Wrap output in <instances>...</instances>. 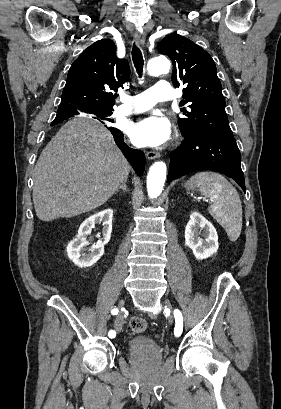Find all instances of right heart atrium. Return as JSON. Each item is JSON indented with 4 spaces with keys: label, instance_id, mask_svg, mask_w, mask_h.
I'll return each instance as SVG.
<instances>
[{
    "label": "right heart atrium",
    "instance_id": "1",
    "mask_svg": "<svg viewBox=\"0 0 281 409\" xmlns=\"http://www.w3.org/2000/svg\"><path fill=\"white\" fill-rule=\"evenodd\" d=\"M123 132H124V134H126V135L129 134V127H128L127 124H125V125L123 126Z\"/></svg>",
    "mask_w": 281,
    "mask_h": 409
}]
</instances>
